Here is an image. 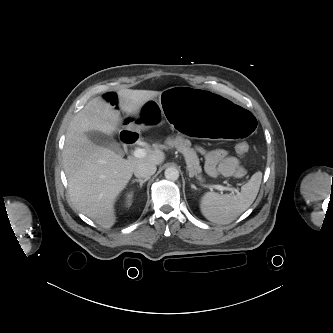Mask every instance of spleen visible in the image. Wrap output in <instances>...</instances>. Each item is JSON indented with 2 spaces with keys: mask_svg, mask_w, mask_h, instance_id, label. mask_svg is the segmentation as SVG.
Here are the masks:
<instances>
[{
  "mask_svg": "<svg viewBox=\"0 0 333 333\" xmlns=\"http://www.w3.org/2000/svg\"><path fill=\"white\" fill-rule=\"evenodd\" d=\"M262 179V172H256L241 187L236 195H220L207 192L200 199V211L209 221L229 224L247 210L256 199Z\"/></svg>",
  "mask_w": 333,
  "mask_h": 333,
  "instance_id": "spleen-1",
  "label": "spleen"
}]
</instances>
